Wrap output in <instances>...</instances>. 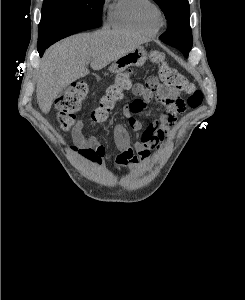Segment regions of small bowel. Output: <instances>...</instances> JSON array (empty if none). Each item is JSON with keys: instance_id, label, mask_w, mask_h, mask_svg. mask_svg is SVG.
I'll return each instance as SVG.
<instances>
[{"instance_id": "c3829d8e", "label": "small bowel", "mask_w": 245, "mask_h": 300, "mask_svg": "<svg viewBox=\"0 0 245 300\" xmlns=\"http://www.w3.org/2000/svg\"><path fill=\"white\" fill-rule=\"evenodd\" d=\"M154 80L150 79L148 84ZM132 92L143 101L144 107L145 103L153 98V91L148 85L135 84L132 86ZM157 98L165 107V111L146 128L134 116L135 113L141 112L144 108L135 111L130 103L123 108V115L134 135L132 136L128 129L121 124L115 126L114 141L119 150L115 161L117 167L138 165L149 159L153 152H158L168 138L170 129L175 125L177 117L185 111V104L180 98H173L163 91H157ZM82 129V122H78L74 126L72 137L75 143L82 149L90 151L91 156L89 158L95 162L101 161L105 151L103 145L94 137L86 138Z\"/></svg>"}]
</instances>
